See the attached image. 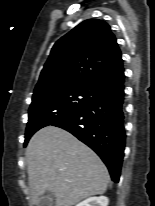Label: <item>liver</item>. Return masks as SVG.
<instances>
[{
	"label": "liver",
	"instance_id": "6515ba94",
	"mask_svg": "<svg viewBox=\"0 0 155 206\" xmlns=\"http://www.w3.org/2000/svg\"><path fill=\"white\" fill-rule=\"evenodd\" d=\"M26 158L33 204L46 191L54 195L55 206H74L107 190L110 177L104 163L61 128L47 126L37 131L28 143Z\"/></svg>",
	"mask_w": 155,
	"mask_h": 206
}]
</instances>
